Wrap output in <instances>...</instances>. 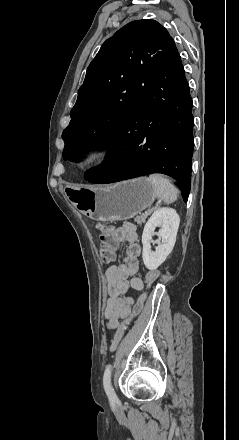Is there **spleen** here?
<instances>
[{
	"mask_svg": "<svg viewBox=\"0 0 239 440\" xmlns=\"http://www.w3.org/2000/svg\"><path fill=\"white\" fill-rule=\"evenodd\" d=\"M150 182H152L155 188L156 198L163 200L166 204H172L176 202L179 194V190L171 184L170 180H166L162 174H151L149 176Z\"/></svg>",
	"mask_w": 239,
	"mask_h": 440,
	"instance_id": "spleen-1",
	"label": "spleen"
}]
</instances>
